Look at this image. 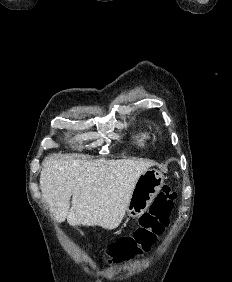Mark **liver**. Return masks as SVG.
Returning a JSON list of instances; mask_svg holds the SVG:
<instances>
[{
  "label": "liver",
  "mask_w": 232,
  "mask_h": 282,
  "mask_svg": "<svg viewBox=\"0 0 232 282\" xmlns=\"http://www.w3.org/2000/svg\"><path fill=\"white\" fill-rule=\"evenodd\" d=\"M154 164L148 160L51 156L44 160L40 174L42 197L58 223L67 220L71 226L113 230L125 216L139 176Z\"/></svg>",
  "instance_id": "obj_1"
}]
</instances>
